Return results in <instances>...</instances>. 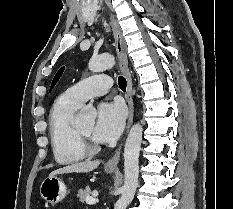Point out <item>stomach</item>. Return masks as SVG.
<instances>
[{"instance_id": "obj_1", "label": "stomach", "mask_w": 233, "mask_h": 209, "mask_svg": "<svg viewBox=\"0 0 233 209\" xmlns=\"http://www.w3.org/2000/svg\"><path fill=\"white\" fill-rule=\"evenodd\" d=\"M115 169H105L107 173H112ZM41 197L50 204L61 202L67 195V188L63 180L58 176H49L40 185Z\"/></svg>"}]
</instances>
